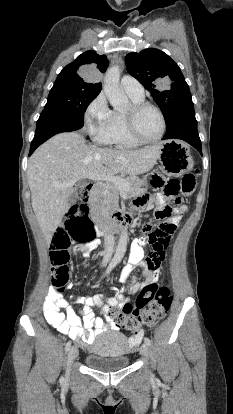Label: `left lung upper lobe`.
<instances>
[{"instance_id":"left-lung-upper-lobe-1","label":"left lung upper lobe","mask_w":233,"mask_h":414,"mask_svg":"<svg viewBox=\"0 0 233 414\" xmlns=\"http://www.w3.org/2000/svg\"><path fill=\"white\" fill-rule=\"evenodd\" d=\"M126 67L131 76L151 91L166 123L181 107L193 103L181 69L164 52L150 48L140 53H129Z\"/></svg>"}]
</instances>
